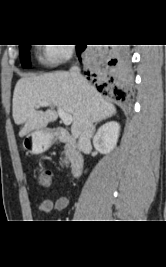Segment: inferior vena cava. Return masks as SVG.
Here are the masks:
<instances>
[{"mask_svg": "<svg viewBox=\"0 0 166 267\" xmlns=\"http://www.w3.org/2000/svg\"><path fill=\"white\" fill-rule=\"evenodd\" d=\"M72 57V53L69 55V59ZM70 75L73 80L80 85L83 89L86 88V81L80 74V69L77 66H72L70 69ZM93 122L87 119L82 127V132L80 133L78 140L79 150H83L85 147L89 146L91 143V138L93 136Z\"/></svg>", "mask_w": 166, "mask_h": 267, "instance_id": "obj_1", "label": "inferior vena cava"}]
</instances>
